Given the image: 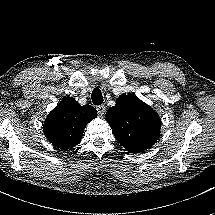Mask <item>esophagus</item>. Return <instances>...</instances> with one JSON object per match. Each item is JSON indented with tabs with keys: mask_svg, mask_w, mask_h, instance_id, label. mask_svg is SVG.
<instances>
[{
	"mask_svg": "<svg viewBox=\"0 0 215 215\" xmlns=\"http://www.w3.org/2000/svg\"><path fill=\"white\" fill-rule=\"evenodd\" d=\"M96 111L100 114L103 115L106 111L105 105H98L96 106Z\"/></svg>",
	"mask_w": 215,
	"mask_h": 215,
	"instance_id": "obj_1",
	"label": "esophagus"
}]
</instances>
